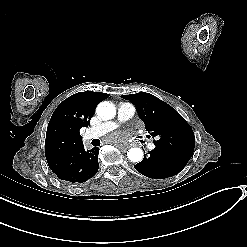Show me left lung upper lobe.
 <instances>
[{"label":"left lung upper lobe","instance_id":"obj_1","mask_svg":"<svg viewBox=\"0 0 247 247\" xmlns=\"http://www.w3.org/2000/svg\"><path fill=\"white\" fill-rule=\"evenodd\" d=\"M122 98L136 106L146 130L156 137V147L192 157L195 147L193 130L174 108L146 92L123 95Z\"/></svg>","mask_w":247,"mask_h":247}]
</instances>
